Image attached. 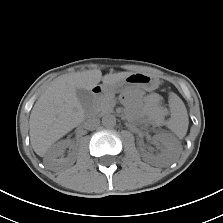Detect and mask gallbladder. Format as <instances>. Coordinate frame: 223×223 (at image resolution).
Returning <instances> with one entry per match:
<instances>
[{
	"instance_id": "gallbladder-1",
	"label": "gallbladder",
	"mask_w": 223,
	"mask_h": 223,
	"mask_svg": "<svg viewBox=\"0 0 223 223\" xmlns=\"http://www.w3.org/2000/svg\"><path fill=\"white\" fill-rule=\"evenodd\" d=\"M76 94L82 107L87 109L92 101V93L86 89H77Z\"/></svg>"
}]
</instances>
